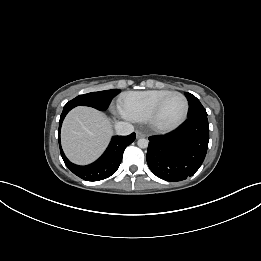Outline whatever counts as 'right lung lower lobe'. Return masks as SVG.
I'll use <instances>...</instances> for the list:
<instances>
[{
    "label": "right lung lower lobe",
    "mask_w": 261,
    "mask_h": 261,
    "mask_svg": "<svg viewBox=\"0 0 261 261\" xmlns=\"http://www.w3.org/2000/svg\"><path fill=\"white\" fill-rule=\"evenodd\" d=\"M71 108H64L59 120L58 139L61 156L64 163L78 177L87 181H98L113 175L121 163L125 148L131 144L136 137L135 133L128 136H114L103 155L94 163L87 166H78L71 163L65 156L60 144V129L62 121Z\"/></svg>",
    "instance_id": "obj_1"
}]
</instances>
